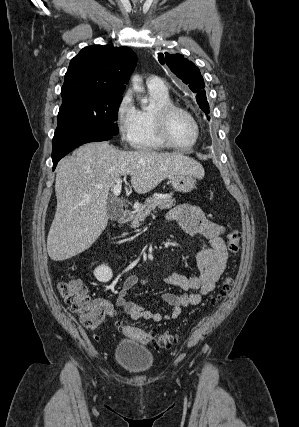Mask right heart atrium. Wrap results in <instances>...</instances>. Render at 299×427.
<instances>
[{"mask_svg":"<svg viewBox=\"0 0 299 427\" xmlns=\"http://www.w3.org/2000/svg\"><path fill=\"white\" fill-rule=\"evenodd\" d=\"M115 123L121 141L134 146L138 136L139 118L131 92L126 91L118 101L115 110Z\"/></svg>","mask_w":299,"mask_h":427,"instance_id":"d8ad5b80","label":"right heart atrium"}]
</instances>
